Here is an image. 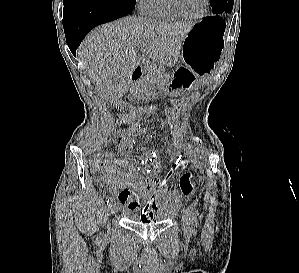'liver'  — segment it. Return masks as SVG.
Returning a JSON list of instances; mask_svg holds the SVG:
<instances>
[{
  "mask_svg": "<svg viewBox=\"0 0 299 273\" xmlns=\"http://www.w3.org/2000/svg\"><path fill=\"white\" fill-rule=\"evenodd\" d=\"M195 24L125 17L89 33L78 49V57L103 96L117 99L128 92L131 75L141 63L137 47L152 61L174 66Z\"/></svg>",
  "mask_w": 299,
  "mask_h": 273,
  "instance_id": "6515ba94",
  "label": "liver"
}]
</instances>
